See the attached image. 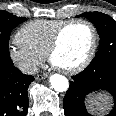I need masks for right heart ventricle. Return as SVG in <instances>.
<instances>
[{"label":"right heart ventricle","instance_id":"obj_1","mask_svg":"<svg viewBox=\"0 0 116 116\" xmlns=\"http://www.w3.org/2000/svg\"><path fill=\"white\" fill-rule=\"evenodd\" d=\"M67 20L37 19L23 25L16 39L30 50L45 56L56 30Z\"/></svg>","mask_w":116,"mask_h":116}]
</instances>
